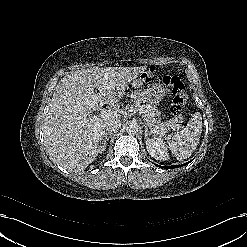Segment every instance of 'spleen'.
<instances>
[{
	"label": "spleen",
	"instance_id": "1",
	"mask_svg": "<svg viewBox=\"0 0 247 247\" xmlns=\"http://www.w3.org/2000/svg\"><path fill=\"white\" fill-rule=\"evenodd\" d=\"M202 133V117L199 112L193 114L187 126L176 132L169 141V148L177 160L189 158L197 148Z\"/></svg>",
	"mask_w": 247,
	"mask_h": 247
}]
</instances>
